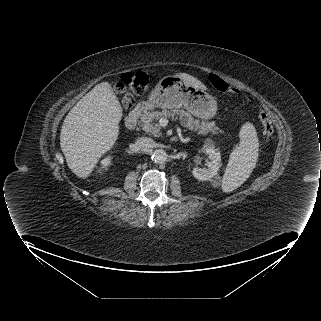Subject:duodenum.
Masks as SVG:
<instances>
[{
  "label": "duodenum",
  "instance_id": "1",
  "mask_svg": "<svg viewBox=\"0 0 321 321\" xmlns=\"http://www.w3.org/2000/svg\"><path fill=\"white\" fill-rule=\"evenodd\" d=\"M147 107V103L140 102L133 108V110L129 113L126 119L127 128L133 129L137 125L140 115L143 113L144 110L147 109Z\"/></svg>",
  "mask_w": 321,
  "mask_h": 321
}]
</instances>
